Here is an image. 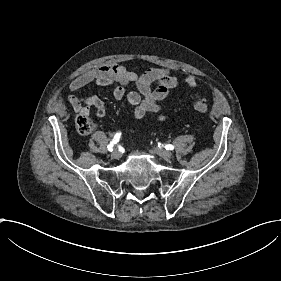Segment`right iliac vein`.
Returning <instances> with one entry per match:
<instances>
[{
	"label": "right iliac vein",
	"instance_id": "63e3f726",
	"mask_svg": "<svg viewBox=\"0 0 281 281\" xmlns=\"http://www.w3.org/2000/svg\"><path fill=\"white\" fill-rule=\"evenodd\" d=\"M112 157H113V159L118 161L121 159L122 156H121L120 152L115 151V152H113Z\"/></svg>",
	"mask_w": 281,
	"mask_h": 281
}]
</instances>
